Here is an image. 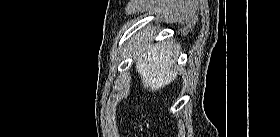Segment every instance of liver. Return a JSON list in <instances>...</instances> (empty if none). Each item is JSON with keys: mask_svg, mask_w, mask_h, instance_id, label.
<instances>
[{"mask_svg": "<svg viewBox=\"0 0 280 137\" xmlns=\"http://www.w3.org/2000/svg\"><path fill=\"white\" fill-rule=\"evenodd\" d=\"M146 45L139 42L136 45V71L140 74L145 89L158 91L176 79L173 53L168 42L157 43L148 48H145Z\"/></svg>", "mask_w": 280, "mask_h": 137, "instance_id": "1", "label": "liver"}]
</instances>
